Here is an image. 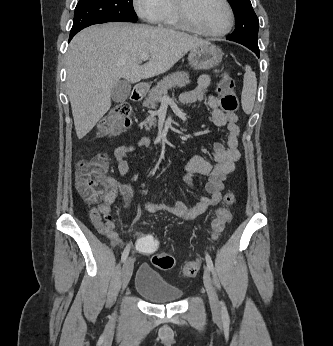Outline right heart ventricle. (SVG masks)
Here are the masks:
<instances>
[{
    "instance_id": "obj_1",
    "label": "right heart ventricle",
    "mask_w": 333,
    "mask_h": 346,
    "mask_svg": "<svg viewBox=\"0 0 333 346\" xmlns=\"http://www.w3.org/2000/svg\"><path fill=\"white\" fill-rule=\"evenodd\" d=\"M158 24L172 29H184L177 17L173 0H167L166 11Z\"/></svg>"
}]
</instances>
